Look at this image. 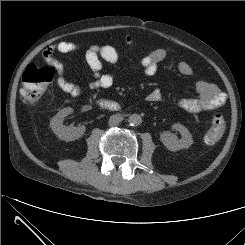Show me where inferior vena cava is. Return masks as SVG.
<instances>
[{"label":"inferior vena cava","instance_id":"602c4592","mask_svg":"<svg viewBox=\"0 0 245 245\" xmlns=\"http://www.w3.org/2000/svg\"><path fill=\"white\" fill-rule=\"evenodd\" d=\"M122 120L123 118L120 115L115 114V115L110 116L108 123L110 126H116L119 123H121Z\"/></svg>","mask_w":245,"mask_h":245}]
</instances>
